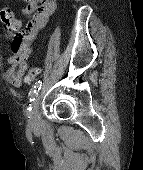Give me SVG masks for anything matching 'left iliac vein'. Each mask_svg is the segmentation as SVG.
Masks as SVG:
<instances>
[{
	"instance_id": "left-iliac-vein-1",
	"label": "left iliac vein",
	"mask_w": 143,
	"mask_h": 170,
	"mask_svg": "<svg viewBox=\"0 0 143 170\" xmlns=\"http://www.w3.org/2000/svg\"><path fill=\"white\" fill-rule=\"evenodd\" d=\"M39 107H40V95H38L36 99L33 101L32 109L30 111L28 125L31 127H37L40 123Z\"/></svg>"
}]
</instances>
